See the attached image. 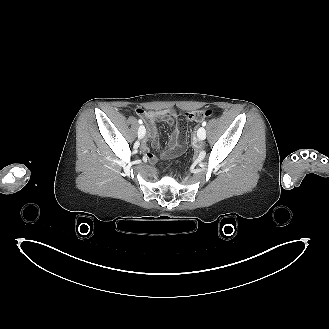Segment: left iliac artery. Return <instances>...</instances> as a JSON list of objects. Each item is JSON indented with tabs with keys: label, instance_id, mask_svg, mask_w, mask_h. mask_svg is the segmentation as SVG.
Returning <instances> with one entry per match:
<instances>
[{
	"label": "left iliac artery",
	"instance_id": "1",
	"mask_svg": "<svg viewBox=\"0 0 329 329\" xmlns=\"http://www.w3.org/2000/svg\"><path fill=\"white\" fill-rule=\"evenodd\" d=\"M206 124H207L206 121L202 122V126H203V127L206 126Z\"/></svg>",
	"mask_w": 329,
	"mask_h": 329
}]
</instances>
